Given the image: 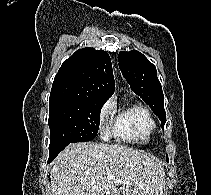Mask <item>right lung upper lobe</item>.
I'll return each instance as SVG.
<instances>
[{
  "instance_id": "1",
  "label": "right lung upper lobe",
  "mask_w": 211,
  "mask_h": 195,
  "mask_svg": "<svg viewBox=\"0 0 211 195\" xmlns=\"http://www.w3.org/2000/svg\"><path fill=\"white\" fill-rule=\"evenodd\" d=\"M115 89L106 51L83 48L65 60L54 78L50 96L106 101Z\"/></svg>"
}]
</instances>
